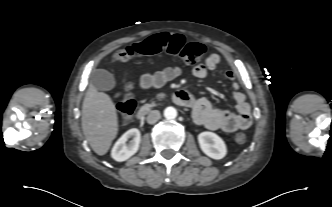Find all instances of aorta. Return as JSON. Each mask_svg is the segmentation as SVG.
<instances>
[{"instance_id":"obj_1","label":"aorta","mask_w":332,"mask_h":207,"mask_svg":"<svg viewBox=\"0 0 332 207\" xmlns=\"http://www.w3.org/2000/svg\"><path fill=\"white\" fill-rule=\"evenodd\" d=\"M177 116V110L174 107H167L164 110V117L168 120L175 119Z\"/></svg>"}]
</instances>
